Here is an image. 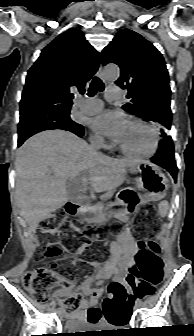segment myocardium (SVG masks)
Wrapping results in <instances>:
<instances>
[{
    "instance_id": "myocardium-1",
    "label": "myocardium",
    "mask_w": 194,
    "mask_h": 336,
    "mask_svg": "<svg viewBox=\"0 0 194 336\" xmlns=\"http://www.w3.org/2000/svg\"><path fill=\"white\" fill-rule=\"evenodd\" d=\"M127 123L137 124L145 128L152 136V147L148 152L136 153V152H131L125 149L122 145L117 143V148L120 150V152L126 156L135 157V158H150L154 156L159 149V134L157 130L150 124L138 118H129L127 120Z\"/></svg>"
}]
</instances>
